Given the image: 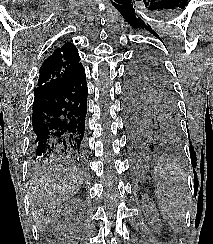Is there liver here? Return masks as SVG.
<instances>
[{
    "label": "liver",
    "instance_id": "1",
    "mask_svg": "<svg viewBox=\"0 0 213 244\" xmlns=\"http://www.w3.org/2000/svg\"><path fill=\"white\" fill-rule=\"evenodd\" d=\"M82 184V172L65 160L52 159L33 171L29 177L28 197L39 231L45 230L56 210L75 195Z\"/></svg>",
    "mask_w": 213,
    "mask_h": 244
}]
</instances>
